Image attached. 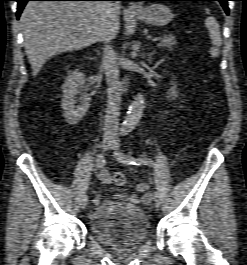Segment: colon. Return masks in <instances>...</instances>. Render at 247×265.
I'll list each match as a JSON object with an SVG mask.
<instances>
[{
    "mask_svg": "<svg viewBox=\"0 0 247 265\" xmlns=\"http://www.w3.org/2000/svg\"><path fill=\"white\" fill-rule=\"evenodd\" d=\"M114 182L117 185L122 186L126 183V176L122 172H116L114 174Z\"/></svg>",
    "mask_w": 247,
    "mask_h": 265,
    "instance_id": "5ec220e1",
    "label": "colon"
}]
</instances>
